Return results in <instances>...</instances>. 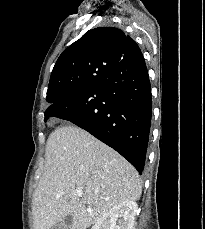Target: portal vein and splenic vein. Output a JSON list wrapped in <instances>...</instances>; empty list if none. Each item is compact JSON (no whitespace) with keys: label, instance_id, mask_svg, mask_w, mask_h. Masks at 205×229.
Instances as JSON below:
<instances>
[{"label":"portal vein and splenic vein","instance_id":"portal-vein-and-splenic-vein-1","mask_svg":"<svg viewBox=\"0 0 205 229\" xmlns=\"http://www.w3.org/2000/svg\"><path fill=\"white\" fill-rule=\"evenodd\" d=\"M82 195H83V192H82V191H80V190L77 191V196H78V197H82Z\"/></svg>","mask_w":205,"mask_h":229}]
</instances>
